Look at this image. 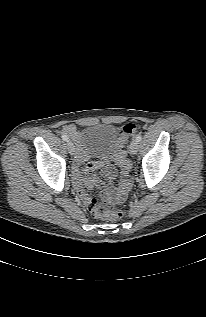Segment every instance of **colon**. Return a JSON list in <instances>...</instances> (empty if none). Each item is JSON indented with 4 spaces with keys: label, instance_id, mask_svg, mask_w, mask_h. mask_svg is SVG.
<instances>
[{
    "label": "colon",
    "instance_id": "obj_1",
    "mask_svg": "<svg viewBox=\"0 0 206 317\" xmlns=\"http://www.w3.org/2000/svg\"><path fill=\"white\" fill-rule=\"evenodd\" d=\"M121 132L127 135H132L135 132V125L132 123L126 124L121 129ZM118 164L123 173H130V163L124 155L119 156ZM89 210L95 217L109 221L117 220L123 215L122 211L116 210L110 202H97L96 200H93Z\"/></svg>",
    "mask_w": 206,
    "mask_h": 317
}]
</instances>
